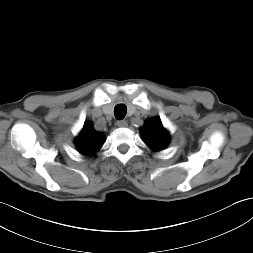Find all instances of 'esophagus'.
<instances>
[{
  "instance_id": "esophagus-1",
  "label": "esophagus",
  "mask_w": 253,
  "mask_h": 253,
  "mask_svg": "<svg viewBox=\"0 0 253 253\" xmlns=\"http://www.w3.org/2000/svg\"><path fill=\"white\" fill-rule=\"evenodd\" d=\"M116 124L118 127H127V125H128L125 120H119V121H117Z\"/></svg>"
}]
</instances>
